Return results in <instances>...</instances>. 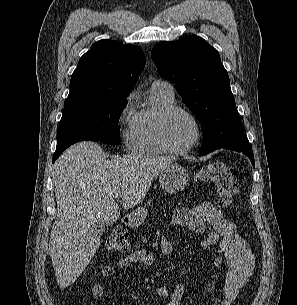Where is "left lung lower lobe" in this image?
I'll return each mask as SVG.
<instances>
[{"instance_id":"obj_1","label":"left lung lower lobe","mask_w":297,"mask_h":305,"mask_svg":"<svg viewBox=\"0 0 297 305\" xmlns=\"http://www.w3.org/2000/svg\"><path fill=\"white\" fill-rule=\"evenodd\" d=\"M221 148L243 153L244 155L249 157L253 167L255 166L254 156H253L252 148L249 145V142L248 143H238V144L224 145ZM210 152H212V151H210ZM210 152H208V153H210ZM208 153H199V155H205V154H208Z\"/></svg>"}]
</instances>
